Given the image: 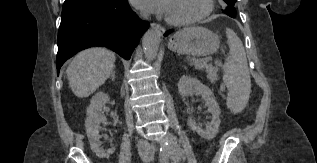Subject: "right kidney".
Returning <instances> with one entry per match:
<instances>
[{
	"instance_id": "ca27d5eb",
	"label": "right kidney",
	"mask_w": 317,
	"mask_h": 163,
	"mask_svg": "<svg viewBox=\"0 0 317 163\" xmlns=\"http://www.w3.org/2000/svg\"><path fill=\"white\" fill-rule=\"evenodd\" d=\"M108 94L97 92L91 99V103L87 108V117L85 121V129L89 139L91 150L99 158H108L114 153L115 148L111 147L107 150L102 149L99 135V124L106 121V117L102 111L103 106L109 102Z\"/></svg>"
}]
</instances>
